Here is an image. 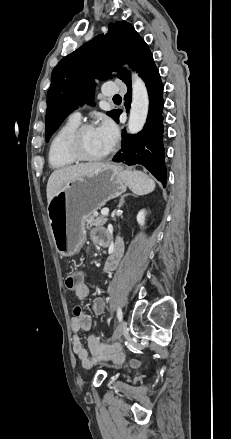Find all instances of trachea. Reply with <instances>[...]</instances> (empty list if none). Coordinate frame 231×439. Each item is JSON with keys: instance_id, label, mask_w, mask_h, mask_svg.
Listing matches in <instances>:
<instances>
[{"instance_id": "3493384b", "label": "trachea", "mask_w": 231, "mask_h": 439, "mask_svg": "<svg viewBox=\"0 0 231 439\" xmlns=\"http://www.w3.org/2000/svg\"><path fill=\"white\" fill-rule=\"evenodd\" d=\"M113 99H114V100L121 99V96H120V95H115V96L113 97Z\"/></svg>"}]
</instances>
